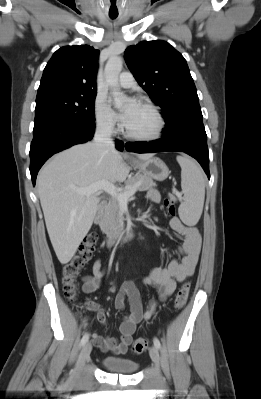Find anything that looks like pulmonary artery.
I'll list each match as a JSON object with an SVG mask.
<instances>
[{"label": "pulmonary artery", "instance_id": "e3ab8cb5", "mask_svg": "<svg viewBox=\"0 0 261 399\" xmlns=\"http://www.w3.org/2000/svg\"><path fill=\"white\" fill-rule=\"evenodd\" d=\"M135 79L130 72H122L119 76V85L122 88H131L135 85Z\"/></svg>", "mask_w": 261, "mask_h": 399}]
</instances>
